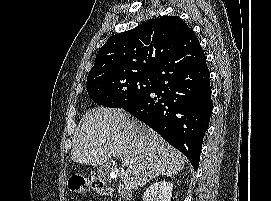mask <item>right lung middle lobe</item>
Segmentation results:
<instances>
[{
  "label": "right lung middle lobe",
  "mask_w": 271,
  "mask_h": 201,
  "mask_svg": "<svg viewBox=\"0 0 271 201\" xmlns=\"http://www.w3.org/2000/svg\"><path fill=\"white\" fill-rule=\"evenodd\" d=\"M154 82V74L123 73L87 78V92L99 105L120 108L125 102L143 95Z\"/></svg>",
  "instance_id": "right-lung-middle-lobe-1"
}]
</instances>
